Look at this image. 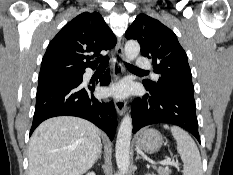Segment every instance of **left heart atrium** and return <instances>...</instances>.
<instances>
[{
  "mask_svg": "<svg viewBox=\"0 0 233 175\" xmlns=\"http://www.w3.org/2000/svg\"><path fill=\"white\" fill-rule=\"evenodd\" d=\"M130 92V86L127 82H120L109 89V93L116 97H125Z\"/></svg>",
  "mask_w": 233,
  "mask_h": 175,
  "instance_id": "obj_1",
  "label": "left heart atrium"
}]
</instances>
